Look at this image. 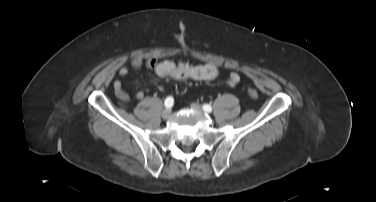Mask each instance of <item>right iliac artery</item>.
Masks as SVG:
<instances>
[{
	"instance_id": "right-iliac-artery-1",
	"label": "right iliac artery",
	"mask_w": 376,
	"mask_h": 202,
	"mask_svg": "<svg viewBox=\"0 0 376 202\" xmlns=\"http://www.w3.org/2000/svg\"><path fill=\"white\" fill-rule=\"evenodd\" d=\"M174 104V99L172 96H169L165 99L164 105L166 108H171Z\"/></svg>"
}]
</instances>
